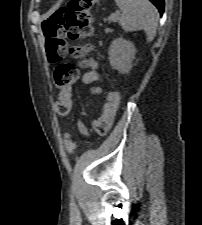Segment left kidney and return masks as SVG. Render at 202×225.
Segmentation results:
<instances>
[{"label":"left kidney","mask_w":202,"mask_h":225,"mask_svg":"<svg viewBox=\"0 0 202 225\" xmlns=\"http://www.w3.org/2000/svg\"><path fill=\"white\" fill-rule=\"evenodd\" d=\"M135 46L122 37L112 41L109 48V61L113 69L119 73H128L132 68V61L135 57Z\"/></svg>","instance_id":"5707ae66"}]
</instances>
